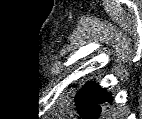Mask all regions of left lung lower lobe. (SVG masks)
I'll list each match as a JSON object with an SVG mask.
<instances>
[{"label": "left lung lower lobe", "instance_id": "obj_1", "mask_svg": "<svg viewBox=\"0 0 142 119\" xmlns=\"http://www.w3.org/2000/svg\"><path fill=\"white\" fill-rule=\"evenodd\" d=\"M110 95L96 84H85L76 94L75 105L83 119H98L101 114V103L110 102Z\"/></svg>", "mask_w": 142, "mask_h": 119}]
</instances>
